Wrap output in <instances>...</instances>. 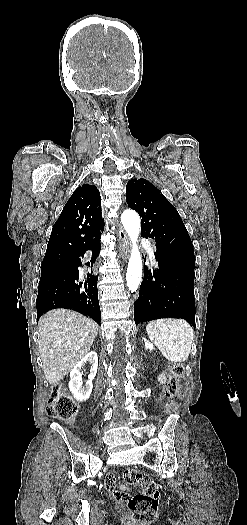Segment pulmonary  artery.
Instances as JSON below:
<instances>
[{"instance_id": "obj_1", "label": "pulmonary artery", "mask_w": 247, "mask_h": 525, "mask_svg": "<svg viewBox=\"0 0 247 525\" xmlns=\"http://www.w3.org/2000/svg\"><path fill=\"white\" fill-rule=\"evenodd\" d=\"M143 248H144V251L147 254V257L149 260V263L151 266L153 267H156L159 265L160 263V260L158 257H156V254H155V240L153 239H144L143 240Z\"/></svg>"}]
</instances>
